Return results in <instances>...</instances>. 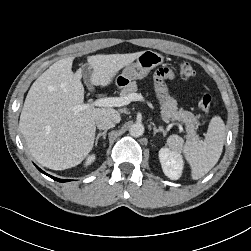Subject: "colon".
<instances>
[{"instance_id":"colon-1","label":"colon","mask_w":251,"mask_h":251,"mask_svg":"<svg viewBox=\"0 0 251 251\" xmlns=\"http://www.w3.org/2000/svg\"><path fill=\"white\" fill-rule=\"evenodd\" d=\"M179 75L182 79L189 80L192 79L196 71L194 67L188 62H182L179 64L178 68ZM212 98L209 94H204L199 100V107L204 113H209L211 110Z\"/></svg>"}]
</instances>
